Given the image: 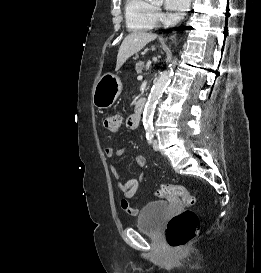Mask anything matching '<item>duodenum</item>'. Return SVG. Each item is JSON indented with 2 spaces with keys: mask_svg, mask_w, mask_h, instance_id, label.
<instances>
[{
  "mask_svg": "<svg viewBox=\"0 0 261 273\" xmlns=\"http://www.w3.org/2000/svg\"><path fill=\"white\" fill-rule=\"evenodd\" d=\"M144 106H145V102L142 99H140L136 104L135 113L133 114V116H134V125L136 127H138L139 124H140L142 113H143V110H144Z\"/></svg>",
  "mask_w": 261,
  "mask_h": 273,
  "instance_id": "obj_1",
  "label": "duodenum"
}]
</instances>
